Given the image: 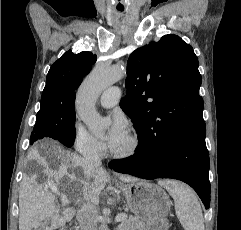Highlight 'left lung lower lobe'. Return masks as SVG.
I'll return each instance as SVG.
<instances>
[{
  "label": "left lung lower lobe",
  "mask_w": 241,
  "mask_h": 230,
  "mask_svg": "<svg viewBox=\"0 0 241 230\" xmlns=\"http://www.w3.org/2000/svg\"><path fill=\"white\" fill-rule=\"evenodd\" d=\"M109 167L116 172L148 180H181L190 185L206 209L209 208V153L205 137L176 135L155 143L139 140L133 156L112 160Z\"/></svg>",
  "instance_id": "1"
}]
</instances>
